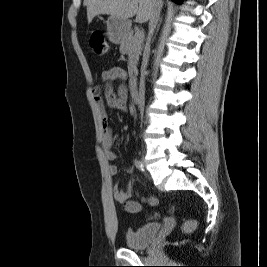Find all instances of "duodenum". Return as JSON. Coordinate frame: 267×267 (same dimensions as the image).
Wrapping results in <instances>:
<instances>
[{
    "mask_svg": "<svg viewBox=\"0 0 267 267\" xmlns=\"http://www.w3.org/2000/svg\"><path fill=\"white\" fill-rule=\"evenodd\" d=\"M130 95H131L133 100H138V98H139L137 81H136L135 75H133L130 79Z\"/></svg>",
    "mask_w": 267,
    "mask_h": 267,
    "instance_id": "obj_1",
    "label": "duodenum"
}]
</instances>
